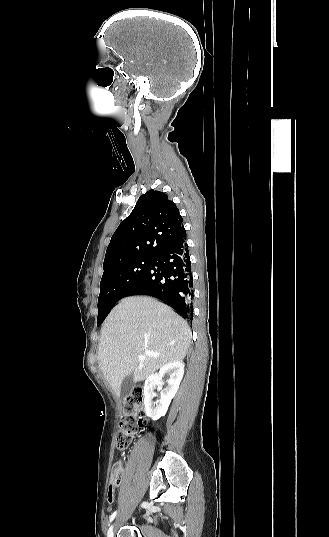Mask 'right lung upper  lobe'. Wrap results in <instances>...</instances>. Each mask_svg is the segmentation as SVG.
<instances>
[{"label": "right lung upper lobe", "instance_id": "right-lung-upper-lobe-1", "mask_svg": "<svg viewBox=\"0 0 329 537\" xmlns=\"http://www.w3.org/2000/svg\"><path fill=\"white\" fill-rule=\"evenodd\" d=\"M182 221L175 203L165 193L149 190L139 197L131 214L113 234L103 268L153 258L185 232Z\"/></svg>", "mask_w": 329, "mask_h": 537}]
</instances>
